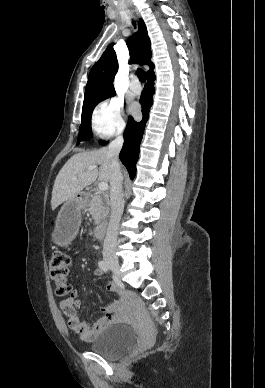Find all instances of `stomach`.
Returning a JSON list of instances; mask_svg holds the SVG:
<instances>
[{
    "label": "stomach",
    "mask_w": 265,
    "mask_h": 388,
    "mask_svg": "<svg viewBox=\"0 0 265 388\" xmlns=\"http://www.w3.org/2000/svg\"><path fill=\"white\" fill-rule=\"evenodd\" d=\"M82 207L83 200L78 197L67 200L61 207L52 233L55 244L65 246L76 235L81 221Z\"/></svg>",
    "instance_id": "obj_1"
}]
</instances>
